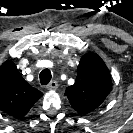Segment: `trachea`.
I'll list each match as a JSON object with an SVG mask.
<instances>
[{
    "label": "trachea",
    "instance_id": "1",
    "mask_svg": "<svg viewBox=\"0 0 133 133\" xmlns=\"http://www.w3.org/2000/svg\"><path fill=\"white\" fill-rule=\"evenodd\" d=\"M51 71L49 69H44L40 73V83L41 85H47L51 80Z\"/></svg>",
    "mask_w": 133,
    "mask_h": 133
}]
</instances>
